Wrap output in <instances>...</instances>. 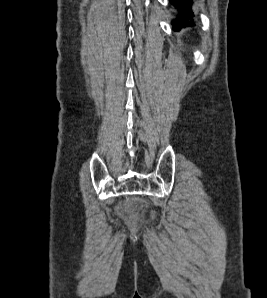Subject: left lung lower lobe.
Returning <instances> with one entry per match:
<instances>
[{
	"instance_id": "1",
	"label": "left lung lower lobe",
	"mask_w": 267,
	"mask_h": 298,
	"mask_svg": "<svg viewBox=\"0 0 267 298\" xmlns=\"http://www.w3.org/2000/svg\"><path fill=\"white\" fill-rule=\"evenodd\" d=\"M170 2L178 8L180 11V20H175L172 22L174 25V30H179V28L188 24V22L182 21V19H190L194 16L192 12V0H170Z\"/></svg>"
}]
</instances>
